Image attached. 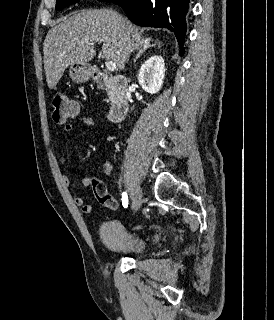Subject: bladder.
I'll list each match as a JSON object with an SVG mask.
<instances>
[{
	"label": "bladder",
	"mask_w": 274,
	"mask_h": 320,
	"mask_svg": "<svg viewBox=\"0 0 274 320\" xmlns=\"http://www.w3.org/2000/svg\"><path fill=\"white\" fill-rule=\"evenodd\" d=\"M99 232L104 245L117 255L137 256L142 254L148 246L143 236L128 231L117 220L103 222Z\"/></svg>",
	"instance_id": "bladder-1"
}]
</instances>
